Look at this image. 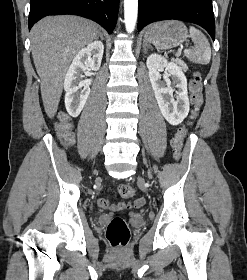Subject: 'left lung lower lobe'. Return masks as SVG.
Masks as SVG:
<instances>
[{
    "label": "left lung lower lobe",
    "mask_w": 247,
    "mask_h": 280,
    "mask_svg": "<svg viewBox=\"0 0 247 280\" xmlns=\"http://www.w3.org/2000/svg\"><path fill=\"white\" fill-rule=\"evenodd\" d=\"M168 19L198 24L215 39L212 0H139V31L149 23Z\"/></svg>",
    "instance_id": "obj_1"
}]
</instances>
